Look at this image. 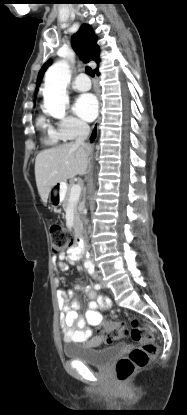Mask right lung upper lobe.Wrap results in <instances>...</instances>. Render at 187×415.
I'll use <instances>...</instances> for the list:
<instances>
[{
  "label": "right lung upper lobe",
  "instance_id": "1",
  "mask_svg": "<svg viewBox=\"0 0 187 415\" xmlns=\"http://www.w3.org/2000/svg\"><path fill=\"white\" fill-rule=\"evenodd\" d=\"M72 47L76 52L83 56L85 62L95 61L99 64V46L96 43V36L89 25L83 24L78 32L72 36ZM49 65L50 62L48 61L41 68L37 79L36 91L38 90L42 76ZM96 70H98V68H96L95 71Z\"/></svg>",
  "mask_w": 187,
  "mask_h": 415
}]
</instances>
